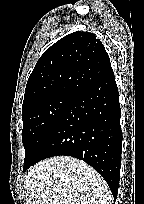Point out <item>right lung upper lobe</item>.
I'll use <instances>...</instances> for the list:
<instances>
[{
    "mask_svg": "<svg viewBox=\"0 0 144 204\" xmlns=\"http://www.w3.org/2000/svg\"><path fill=\"white\" fill-rule=\"evenodd\" d=\"M112 74L108 54L95 34L71 33L38 60L27 82L22 111L59 93L76 95Z\"/></svg>",
    "mask_w": 144,
    "mask_h": 204,
    "instance_id": "right-lung-upper-lobe-1",
    "label": "right lung upper lobe"
}]
</instances>
